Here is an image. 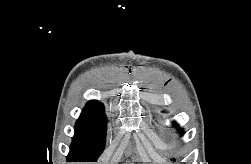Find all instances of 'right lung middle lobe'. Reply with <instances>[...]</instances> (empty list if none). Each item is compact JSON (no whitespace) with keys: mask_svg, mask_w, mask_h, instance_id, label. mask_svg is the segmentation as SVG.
Masks as SVG:
<instances>
[{"mask_svg":"<svg viewBox=\"0 0 251 164\" xmlns=\"http://www.w3.org/2000/svg\"><path fill=\"white\" fill-rule=\"evenodd\" d=\"M106 124L103 108L85 107L75 126V135L67 160L96 161L105 146Z\"/></svg>","mask_w":251,"mask_h":164,"instance_id":"1","label":"right lung middle lobe"}]
</instances>
